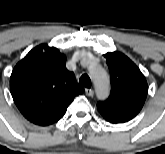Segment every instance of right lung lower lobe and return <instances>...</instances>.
Segmentation results:
<instances>
[{
    "label": "right lung lower lobe",
    "instance_id": "1",
    "mask_svg": "<svg viewBox=\"0 0 165 154\" xmlns=\"http://www.w3.org/2000/svg\"><path fill=\"white\" fill-rule=\"evenodd\" d=\"M72 102V101H71ZM71 102H67L60 107L49 111L47 113H44L42 115H39L37 117L32 118L30 121L37 124V125H50L52 123L57 122L60 118H62L67 110V107Z\"/></svg>",
    "mask_w": 165,
    "mask_h": 154
}]
</instances>
